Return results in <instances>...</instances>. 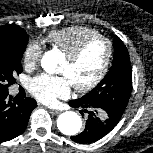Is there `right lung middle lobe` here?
<instances>
[{"label": "right lung middle lobe", "instance_id": "dd1d6c3e", "mask_svg": "<svg viewBox=\"0 0 153 153\" xmlns=\"http://www.w3.org/2000/svg\"><path fill=\"white\" fill-rule=\"evenodd\" d=\"M28 43L27 33L0 36V92H8L15 74L22 72L21 59Z\"/></svg>", "mask_w": 153, "mask_h": 153}]
</instances>
